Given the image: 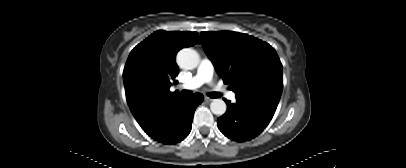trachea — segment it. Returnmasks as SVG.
<instances>
[{
    "instance_id": "trachea-1",
    "label": "trachea",
    "mask_w": 406,
    "mask_h": 168,
    "mask_svg": "<svg viewBox=\"0 0 406 168\" xmlns=\"http://www.w3.org/2000/svg\"><path fill=\"white\" fill-rule=\"evenodd\" d=\"M191 93H192V92H191V91H188V90H183V91H182V95H183V96H189ZM208 96H210L211 98H218V97L221 96V94H220V93H217V92H212V93H209Z\"/></svg>"
}]
</instances>
